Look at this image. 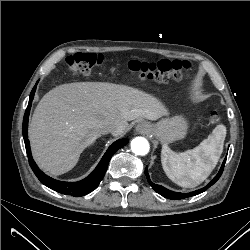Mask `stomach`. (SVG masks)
<instances>
[{
	"label": "stomach",
	"instance_id": "0dacf381",
	"mask_svg": "<svg viewBox=\"0 0 250 250\" xmlns=\"http://www.w3.org/2000/svg\"><path fill=\"white\" fill-rule=\"evenodd\" d=\"M187 129L188 123L182 116L163 118L155 124H150V133L164 145L183 139Z\"/></svg>",
	"mask_w": 250,
	"mask_h": 250
}]
</instances>
